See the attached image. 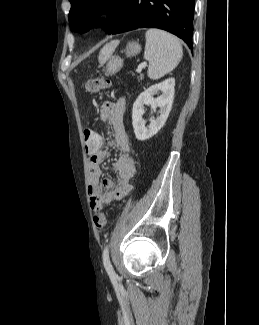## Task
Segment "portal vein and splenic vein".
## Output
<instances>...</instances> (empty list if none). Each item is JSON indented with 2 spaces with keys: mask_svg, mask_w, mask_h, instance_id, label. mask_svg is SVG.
<instances>
[{
  "mask_svg": "<svg viewBox=\"0 0 259 325\" xmlns=\"http://www.w3.org/2000/svg\"><path fill=\"white\" fill-rule=\"evenodd\" d=\"M145 67H146V64L142 63V64H140V65L138 66L137 71H138V72H141V70H142L143 68H145Z\"/></svg>",
  "mask_w": 259,
  "mask_h": 325,
  "instance_id": "portal-vein-and-splenic-vein-1",
  "label": "portal vein and splenic vein"
}]
</instances>
